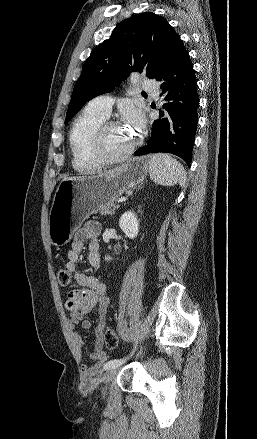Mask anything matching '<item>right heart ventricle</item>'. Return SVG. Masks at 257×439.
<instances>
[{
  "instance_id": "1",
  "label": "right heart ventricle",
  "mask_w": 257,
  "mask_h": 439,
  "mask_svg": "<svg viewBox=\"0 0 257 439\" xmlns=\"http://www.w3.org/2000/svg\"><path fill=\"white\" fill-rule=\"evenodd\" d=\"M105 119V116L86 108L72 125L69 133L72 165L80 173H91L100 165L93 152L92 139Z\"/></svg>"
}]
</instances>
